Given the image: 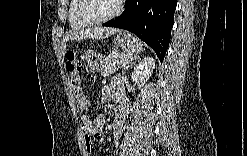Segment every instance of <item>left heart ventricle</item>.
Returning a JSON list of instances; mask_svg holds the SVG:
<instances>
[{"instance_id":"obj_1","label":"left heart ventricle","mask_w":247,"mask_h":156,"mask_svg":"<svg viewBox=\"0 0 247 156\" xmlns=\"http://www.w3.org/2000/svg\"><path fill=\"white\" fill-rule=\"evenodd\" d=\"M115 3L113 0L86 1L83 16L86 19H98L107 16L114 10Z\"/></svg>"}]
</instances>
